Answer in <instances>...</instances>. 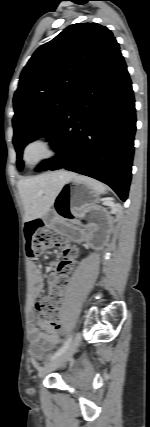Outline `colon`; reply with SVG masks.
Listing matches in <instances>:
<instances>
[{
    "label": "colon",
    "instance_id": "obj_1",
    "mask_svg": "<svg viewBox=\"0 0 150 427\" xmlns=\"http://www.w3.org/2000/svg\"><path fill=\"white\" fill-rule=\"evenodd\" d=\"M25 235L27 240L26 251L31 259L38 258L44 250L52 246H59L63 250V261L59 276L50 284L49 294L42 297L36 305L42 320L50 327L57 329L61 325V294L67 285V274L77 256V250L65 240L57 237L39 219L27 223Z\"/></svg>",
    "mask_w": 150,
    "mask_h": 427
}]
</instances>
